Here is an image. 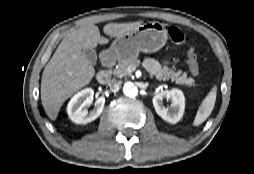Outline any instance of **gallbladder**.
Instances as JSON below:
<instances>
[{
  "label": "gallbladder",
  "instance_id": "1",
  "mask_svg": "<svg viewBox=\"0 0 254 174\" xmlns=\"http://www.w3.org/2000/svg\"><path fill=\"white\" fill-rule=\"evenodd\" d=\"M83 53L85 54V56L87 57V59L93 64L96 65L97 63V54L95 52V50L93 49H84Z\"/></svg>",
  "mask_w": 254,
  "mask_h": 174
}]
</instances>
